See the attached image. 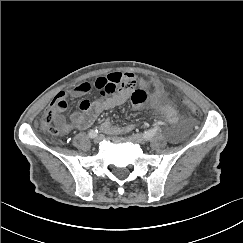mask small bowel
Masks as SVG:
<instances>
[{"label": "small bowel", "mask_w": 243, "mask_h": 243, "mask_svg": "<svg viewBox=\"0 0 243 243\" xmlns=\"http://www.w3.org/2000/svg\"><path fill=\"white\" fill-rule=\"evenodd\" d=\"M123 82H127V84L122 85ZM135 84L136 79L132 73H111L97 77L93 81L80 82L68 91L58 93L56 100L50 106V109H53L56 113V125L61 128L62 133H67L73 128L84 130L90 127L102 113L123 105L129 99H131L133 105H141L147 100L148 93L143 89H136L132 92ZM152 86L154 96L158 98L162 93L161 86L158 82H152ZM92 90L98 91L99 97L93 100H82L79 104V110L72 114L70 122H66L64 117L59 114L67 107L66 97H82ZM163 114L171 123L178 121L177 113L171 106H165ZM101 128L104 131L115 133L131 131L134 127L133 125L114 127L108 121H105Z\"/></svg>", "instance_id": "1"}]
</instances>
